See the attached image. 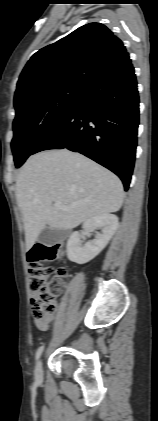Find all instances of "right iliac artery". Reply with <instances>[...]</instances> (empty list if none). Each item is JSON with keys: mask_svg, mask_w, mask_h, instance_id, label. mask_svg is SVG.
Segmentation results:
<instances>
[{"mask_svg": "<svg viewBox=\"0 0 158 421\" xmlns=\"http://www.w3.org/2000/svg\"><path fill=\"white\" fill-rule=\"evenodd\" d=\"M43 349H44V345H42L41 347H39V348H38V350H37V352H36V355H35V359H36V360H38V359H39V357L41 356V354H42V352H43Z\"/></svg>", "mask_w": 158, "mask_h": 421, "instance_id": "82829eb1", "label": "right iliac artery"}]
</instances>
